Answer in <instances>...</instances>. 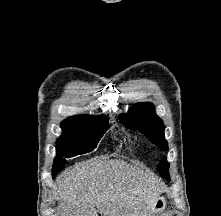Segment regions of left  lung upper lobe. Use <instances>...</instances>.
Returning a JSON list of instances; mask_svg holds the SVG:
<instances>
[{
    "instance_id": "1",
    "label": "left lung upper lobe",
    "mask_w": 221,
    "mask_h": 216,
    "mask_svg": "<svg viewBox=\"0 0 221 216\" xmlns=\"http://www.w3.org/2000/svg\"><path fill=\"white\" fill-rule=\"evenodd\" d=\"M121 123L125 127L139 130L144 133L149 140L164 150H168L167 142L164 138L165 126L162 120L156 115L154 106L151 103H137L126 114L119 116ZM157 170L170 180L169 163L166 158L162 159Z\"/></svg>"
}]
</instances>
